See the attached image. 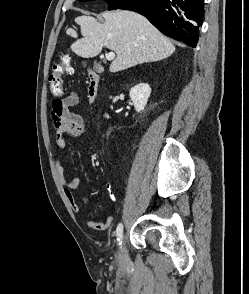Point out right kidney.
Listing matches in <instances>:
<instances>
[{"label":"right kidney","instance_id":"ca27d5eb","mask_svg":"<svg viewBox=\"0 0 249 294\" xmlns=\"http://www.w3.org/2000/svg\"><path fill=\"white\" fill-rule=\"evenodd\" d=\"M150 93L151 88L147 83H140L130 90L129 95L134 104L136 112L139 113L144 110L150 97ZM105 117L109 118L108 115H105Z\"/></svg>","mask_w":249,"mask_h":294}]
</instances>
